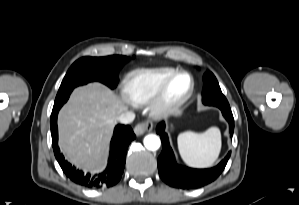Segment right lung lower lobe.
I'll return each instance as SVG.
<instances>
[{
    "instance_id": "right-lung-lower-lobe-1",
    "label": "right lung lower lobe",
    "mask_w": 299,
    "mask_h": 205,
    "mask_svg": "<svg viewBox=\"0 0 299 205\" xmlns=\"http://www.w3.org/2000/svg\"><path fill=\"white\" fill-rule=\"evenodd\" d=\"M62 105L53 107L50 127L54 154L63 172L73 182L87 188L99 189L115 185L121 179L124 170L128 145L136 137L133 130L128 125H117L110 144V156L107 168L105 171L92 177L90 174L84 175L82 171L76 170L74 166L65 161L63 155L59 152L57 115Z\"/></svg>"
}]
</instances>
